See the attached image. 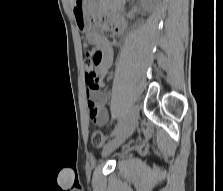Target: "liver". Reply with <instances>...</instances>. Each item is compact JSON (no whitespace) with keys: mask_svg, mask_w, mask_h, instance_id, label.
<instances>
[{"mask_svg":"<svg viewBox=\"0 0 223 191\" xmlns=\"http://www.w3.org/2000/svg\"><path fill=\"white\" fill-rule=\"evenodd\" d=\"M74 1H75V0H70V2H71V4H72V6H73Z\"/></svg>","mask_w":223,"mask_h":191,"instance_id":"liver-1","label":"liver"}]
</instances>
